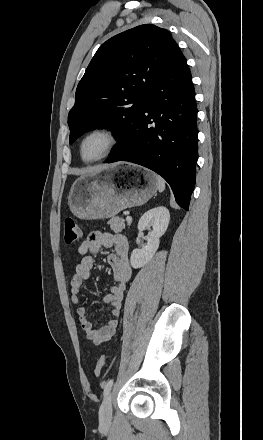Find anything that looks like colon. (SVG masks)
<instances>
[{"instance_id":"1","label":"colon","mask_w":263,"mask_h":440,"mask_svg":"<svg viewBox=\"0 0 263 440\" xmlns=\"http://www.w3.org/2000/svg\"><path fill=\"white\" fill-rule=\"evenodd\" d=\"M81 235V229L78 222L74 219L68 218L64 222V241L67 245L75 244ZM105 365V357L101 356L94 367V373L99 376Z\"/></svg>"}]
</instances>
